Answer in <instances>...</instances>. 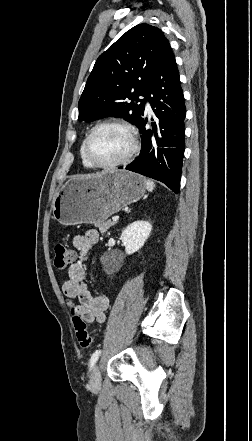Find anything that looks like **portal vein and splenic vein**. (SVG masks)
Listing matches in <instances>:
<instances>
[{
  "instance_id": "obj_1",
  "label": "portal vein and splenic vein",
  "mask_w": 252,
  "mask_h": 441,
  "mask_svg": "<svg viewBox=\"0 0 252 441\" xmlns=\"http://www.w3.org/2000/svg\"><path fill=\"white\" fill-rule=\"evenodd\" d=\"M112 220H113L114 222L118 221V220H119V216H113V217H112Z\"/></svg>"
}]
</instances>
